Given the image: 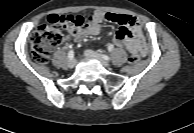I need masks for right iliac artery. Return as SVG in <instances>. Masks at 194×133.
Segmentation results:
<instances>
[{"mask_svg": "<svg viewBox=\"0 0 194 133\" xmlns=\"http://www.w3.org/2000/svg\"><path fill=\"white\" fill-rule=\"evenodd\" d=\"M68 58H69L70 60L74 58V51H73V50H70V51L68 52Z\"/></svg>", "mask_w": 194, "mask_h": 133, "instance_id": "obj_1", "label": "right iliac artery"}]
</instances>
